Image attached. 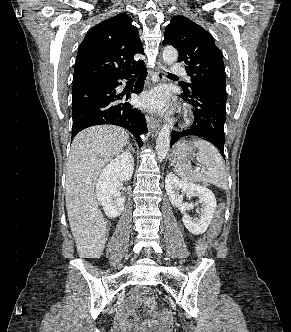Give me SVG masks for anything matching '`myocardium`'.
<instances>
[{"mask_svg": "<svg viewBox=\"0 0 291 332\" xmlns=\"http://www.w3.org/2000/svg\"><path fill=\"white\" fill-rule=\"evenodd\" d=\"M189 123V118L187 116L184 117L182 125H187Z\"/></svg>", "mask_w": 291, "mask_h": 332, "instance_id": "f54148a6", "label": "myocardium"}]
</instances>
